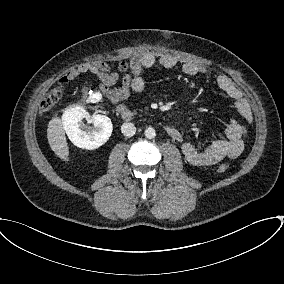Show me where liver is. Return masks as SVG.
I'll return each mask as SVG.
<instances>
[{
  "mask_svg": "<svg viewBox=\"0 0 284 284\" xmlns=\"http://www.w3.org/2000/svg\"><path fill=\"white\" fill-rule=\"evenodd\" d=\"M47 138L50 148L63 161H69V147L61 119L53 117L47 128Z\"/></svg>",
  "mask_w": 284,
  "mask_h": 284,
  "instance_id": "obj_1",
  "label": "liver"
}]
</instances>
